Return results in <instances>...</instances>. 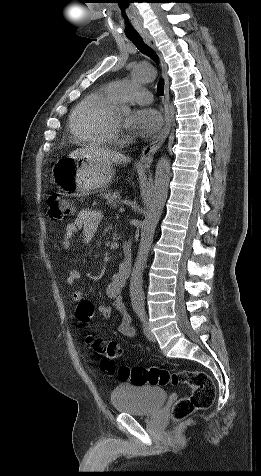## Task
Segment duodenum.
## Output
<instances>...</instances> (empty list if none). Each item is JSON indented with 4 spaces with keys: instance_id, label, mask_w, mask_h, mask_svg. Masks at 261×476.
<instances>
[{
    "instance_id": "410a0bca",
    "label": "duodenum",
    "mask_w": 261,
    "mask_h": 476,
    "mask_svg": "<svg viewBox=\"0 0 261 476\" xmlns=\"http://www.w3.org/2000/svg\"><path fill=\"white\" fill-rule=\"evenodd\" d=\"M122 250H123V262L121 263V266L123 270H125V272L130 273L132 260H133V252H132L131 244L128 241L123 242Z\"/></svg>"
}]
</instances>
